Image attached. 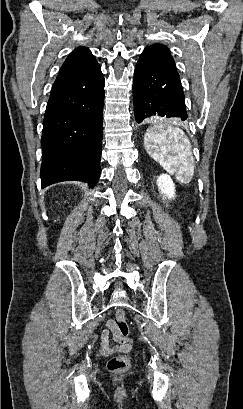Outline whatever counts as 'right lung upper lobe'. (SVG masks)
<instances>
[{
    "label": "right lung upper lobe",
    "mask_w": 243,
    "mask_h": 409,
    "mask_svg": "<svg viewBox=\"0 0 243 409\" xmlns=\"http://www.w3.org/2000/svg\"><path fill=\"white\" fill-rule=\"evenodd\" d=\"M99 66L95 57L85 47H79L69 54L59 74L77 75L90 72Z\"/></svg>",
    "instance_id": "1"
}]
</instances>
